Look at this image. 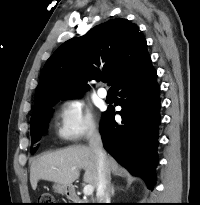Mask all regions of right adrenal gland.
<instances>
[{
	"label": "right adrenal gland",
	"instance_id": "right-adrenal-gland-1",
	"mask_svg": "<svg viewBox=\"0 0 200 205\" xmlns=\"http://www.w3.org/2000/svg\"><path fill=\"white\" fill-rule=\"evenodd\" d=\"M110 192H111V196H114L115 188L113 184L110 185Z\"/></svg>",
	"mask_w": 200,
	"mask_h": 205
}]
</instances>
